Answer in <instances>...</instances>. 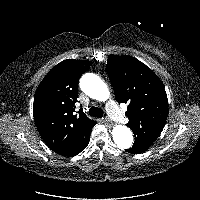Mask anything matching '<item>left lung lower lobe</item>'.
<instances>
[{
    "instance_id": "obj_1",
    "label": "left lung lower lobe",
    "mask_w": 200,
    "mask_h": 200,
    "mask_svg": "<svg viewBox=\"0 0 200 200\" xmlns=\"http://www.w3.org/2000/svg\"><path fill=\"white\" fill-rule=\"evenodd\" d=\"M149 148L147 145H134L130 149H127L126 151L132 154H140L146 151Z\"/></svg>"
}]
</instances>
